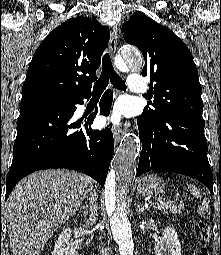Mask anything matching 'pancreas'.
Returning a JSON list of instances; mask_svg holds the SVG:
<instances>
[{"label": "pancreas", "instance_id": "pancreas-1", "mask_svg": "<svg viewBox=\"0 0 221 255\" xmlns=\"http://www.w3.org/2000/svg\"><path fill=\"white\" fill-rule=\"evenodd\" d=\"M152 206L156 207L159 210H163L164 213L171 212L173 214H180L184 209L183 204H176L172 201H166L164 199H157Z\"/></svg>", "mask_w": 221, "mask_h": 255}]
</instances>
